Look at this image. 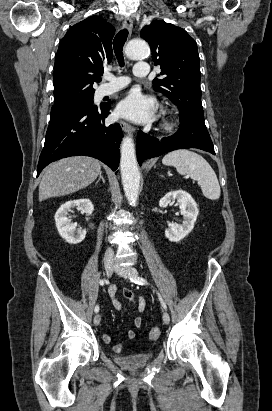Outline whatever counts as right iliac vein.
Returning a JSON list of instances; mask_svg holds the SVG:
<instances>
[{
	"label": "right iliac vein",
	"mask_w": 272,
	"mask_h": 411,
	"mask_svg": "<svg viewBox=\"0 0 272 411\" xmlns=\"http://www.w3.org/2000/svg\"><path fill=\"white\" fill-rule=\"evenodd\" d=\"M104 268H105V272H106V275H107V277H111L112 275H113V272H114V266H113V264L111 263V262H105V264H104ZM100 320H101V317H100V315L99 314H96L95 316H94V324L95 325H99L100 324Z\"/></svg>",
	"instance_id": "right-iliac-vein-1"
}]
</instances>
